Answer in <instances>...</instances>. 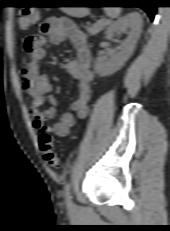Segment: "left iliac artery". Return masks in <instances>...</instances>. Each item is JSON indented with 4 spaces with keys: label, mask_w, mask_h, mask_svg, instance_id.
<instances>
[{
    "label": "left iliac artery",
    "mask_w": 170,
    "mask_h": 231,
    "mask_svg": "<svg viewBox=\"0 0 170 231\" xmlns=\"http://www.w3.org/2000/svg\"><path fill=\"white\" fill-rule=\"evenodd\" d=\"M65 198L67 200L68 203H70L71 201V191H70V184L66 183L65 184Z\"/></svg>",
    "instance_id": "1"
}]
</instances>
